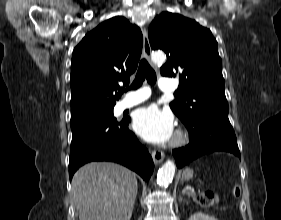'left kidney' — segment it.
Returning a JSON list of instances; mask_svg holds the SVG:
<instances>
[{"label": "left kidney", "instance_id": "1", "mask_svg": "<svg viewBox=\"0 0 281 220\" xmlns=\"http://www.w3.org/2000/svg\"><path fill=\"white\" fill-rule=\"evenodd\" d=\"M188 220H218L215 217L209 216L205 213H195Z\"/></svg>", "mask_w": 281, "mask_h": 220}]
</instances>
